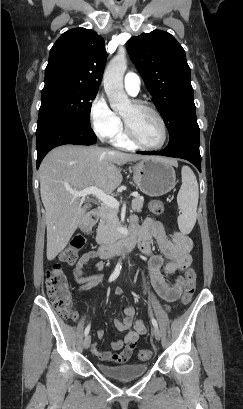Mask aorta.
<instances>
[{
  "mask_svg": "<svg viewBox=\"0 0 243 409\" xmlns=\"http://www.w3.org/2000/svg\"><path fill=\"white\" fill-rule=\"evenodd\" d=\"M126 69V55L124 51H120L110 61L104 74V89L113 110H120L129 103L128 95L123 88V76Z\"/></svg>",
  "mask_w": 243,
  "mask_h": 409,
  "instance_id": "1",
  "label": "aorta"
}]
</instances>
